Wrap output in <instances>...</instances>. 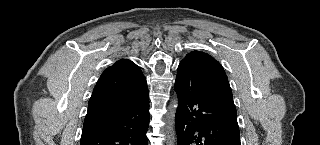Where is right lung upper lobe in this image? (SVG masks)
<instances>
[{"label": "right lung upper lobe", "instance_id": "right-lung-upper-lobe-1", "mask_svg": "<svg viewBox=\"0 0 320 145\" xmlns=\"http://www.w3.org/2000/svg\"><path fill=\"white\" fill-rule=\"evenodd\" d=\"M144 81L146 79L135 63L128 59L117 61L99 78L89 100L85 119L119 109L134 95V88Z\"/></svg>", "mask_w": 320, "mask_h": 145}]
</instances>
